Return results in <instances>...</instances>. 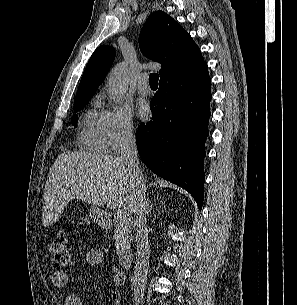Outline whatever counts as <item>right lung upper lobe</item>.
Masks as SVG:
<instances>
[{"instance_id":"cb5924a9","label":"right lung upper lobe","mask_w":297,"mask_h":305,"mask_svg":"<svg viewBox=\"0 0 297 305\" xmlns=\"http://www.w3.org/2000/svg\"><path fill=\"white\" fill-rule=\"evenodd\" d=\"M139 47L147 58L162 64L160 81L189 73L204 63L191 36L163 11L149 16L140 32ZM114 58L113 47L104 45L95 50L81 78L75 101L93 96Z\"/></svg>"}]
</instances>
